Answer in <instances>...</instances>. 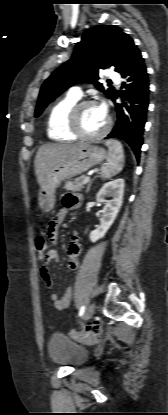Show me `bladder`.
Segmentation results:
<instances>
[{"label":"bladder","instance_id":"1","mask_svg":"<svg viewBox=\"0 0 168 415\" xmlns=\"http://www.w3.org/2000/svg\"><path fill=\"white\" fill-rule=\"evenodd\" d=\"M50 359L59 365L76 368L88 358V350L62 333H54L48 342Z\"/></svg>","mask_w":168,"mask_h":415}]
</instances>
